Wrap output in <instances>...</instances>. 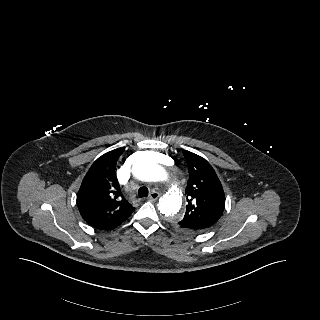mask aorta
<instances>
[{
	"label": "aorta",
	"mask_w": 320,
	"mask_h": 320,
	"mask_svg": "<svg viewBox=\"0 0 320 320\" xmlns=\"http://www.w3.org/2000/svg\"><path fill=\"white\" fill-rule=\"evenodd\" d=\"M158 157V152H146V155L133 165V176L136 179L145 182H159L166 180L167 172L165 168L158 163ZM181 205V195L177 189L173 188L160 199L158 209L168 219L175 220L182 217V215L179 214Z\"/></svg>",
	"instance_id": "1"
}]
</instances>
